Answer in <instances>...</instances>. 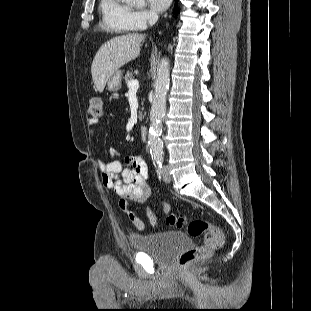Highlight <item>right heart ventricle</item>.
I'll return each instance as SVG.
<instances>
[{"mask_svg":"<svg viewBox=\"0 0 311 311\" xmlns=\"http://www.w3.org/2000/svg\"><path fill=\"white\" fill-rule=\"evenodd\" d=\"M99 12L104 29L120 34L133 30L129 21L131 9L123 0H100Z\"/></svg>","mask_w":311,"mask_h":311,"instance_id":"right-heart-ventricle-1","label":"right heart ventricle"}]
</instances>
